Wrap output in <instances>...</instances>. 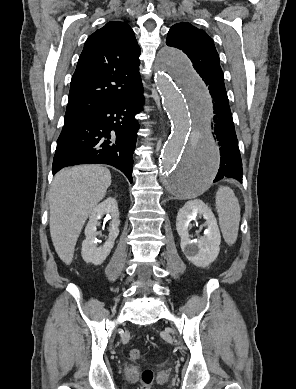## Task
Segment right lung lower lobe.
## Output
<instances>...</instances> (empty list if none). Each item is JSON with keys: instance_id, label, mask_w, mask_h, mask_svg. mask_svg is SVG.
<instances>
[{"instance_id": "right-lung-lower-lobe-1", "label": "right lung lower lobe", "mask_w": 296, "mask_h": 389, "mask_svg": "<svg viewBox=\"0 0 296 389\" xmlns=\"http://www.w3.org/2000/svg\"><path fill=\"white\" fill-rule=\"evenodd\" d=\"M140 75L116 102L64 124L57 140L53 174L77 164H108L121 170L132 183L133 153L143 109Z\"/></svg>"}]
</instances>
